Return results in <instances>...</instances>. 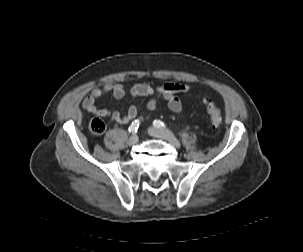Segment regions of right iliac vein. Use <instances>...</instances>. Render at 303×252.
<instances>
[{"label":"right iliac vein","instance_id":"63e3f726","mask_svg":"<svg viewBox=\"0 0 303 252\" xmlns=\"http://www.w3.org/2000/svg\"><path fill=\"white\" fill-rule=\"evenodd\" d=\"M138 142V136L136 134H133L130 136L128 139V144L129 145H135Z\"/></svg>","mask_w":303,"mask_h":252}]
</instances>
